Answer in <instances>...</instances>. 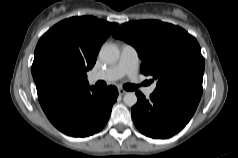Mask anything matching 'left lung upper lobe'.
<instances>
[{
  "label": "left lung upper lobe",
  "instance_id": "obj_1",
  "mask_svg": "<svg viewBox=\"0 0 238 158\" xmlns=\"http://www.w3.org/2000/svg\"><path fill=\"white\" fill-rule=\"evenodd\" d=\"M113 36L137 50L142 60L141 73L157 80L155 91L202 84L205 60L197 40L184 29L143 20L122 24Z\"/></svg>",
  "mask_w": 238,
  "mask_h": 158
}]
</instances>
